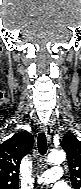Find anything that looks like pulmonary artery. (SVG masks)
Segmentation results:
<instances>
[{
    "instance_id": "1",
    "label": "pulmonary artery",
    "mask_w": 81,
    "mask_h": 189,
    "mask_svg": "<svg viewBox=\"0 0 81 189\" xmlns=\"http://www.w3.org/2000/svg\"><path fill=\"white\" fill-rule=\"evenodd\" d=\"M63 175V171L60 167H53L41 175H39L36 178L37 183L39 184H48V183H53L57 180H59Z\"/></svg>"
}]
</instances>
